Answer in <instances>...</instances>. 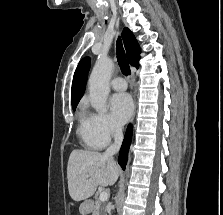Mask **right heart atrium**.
<instances>
[{"instance_id":"d8ad5b80","label":"right heart atrium","mask_w":223,"mask_h":215,"mask_svg":"<svg viewBox=\"0 0 223 215\" xmlns=\"http://www.w3.org/2000/svg\"><path fill=\"white\" fill-rule=\"evenodd\" d=\"M88 125L94 135L103 143L117 136L121 129L107 113H88Z\"/></svg>"}]
</instances>
